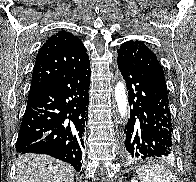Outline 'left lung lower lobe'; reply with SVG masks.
<instances>
[{
  "instance_id": "0a47b994",
  "label": "left lung lower lobe",
  "mask_w": 196,
  "mask_h": 182,
  "mask_svg": "<svg viewBox=\"0 0 196 182\" xmlns=\"http://www.w3.org/2000/svg\"><path fill=\"white\" fill-rule=\"evenodd\" d=\"M118 68L129 91L126 155L142 159L171 156L173 128L167 90L124 57H118Z\"/></svg>"
}]
</instances>
